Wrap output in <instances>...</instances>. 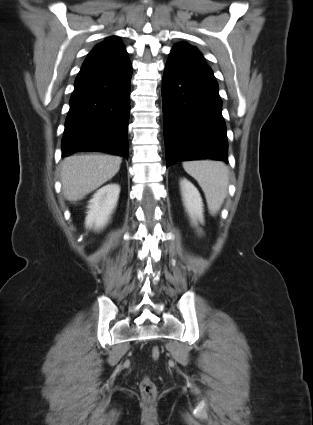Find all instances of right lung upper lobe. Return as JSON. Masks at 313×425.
<instances>
[{"mask_svg":"<svg viewBox=\"0 0 313 425\" xmlns=\"http://www.w3.org/2000/svg\"><path fill=\"white\" fill-rule=\"evenodd\" d=\"M123 60L128 59L125 46L117 36H109L97 45L88 55L87 59Z\"/></svg>","mask_w":313,"mask_h":425,"instance_id":"1","label":"right lung upper lobe"}]
</instances>
